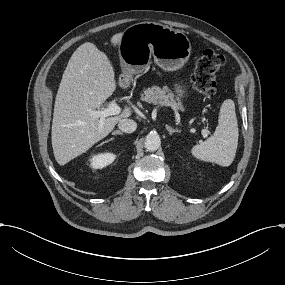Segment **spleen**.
Listing matches in <instances>:
<instances>
[{
  "label": "spleen",
  "instance_id": "spleen-1",
  "mask_svg": "<svg viewBox=\"0 0 285 285\" xmlns=\"http://www.w3.org/2000/svg\"><path fill=\"white\" fill-rule=\"evenodd\" d=\"M218 122L214 134L201 144L193 146L191 153L197 159L227 167L235 158L239 137L233 100L226 99L222 103Z\"/></svg>",
  "mask_w": 285,
  "mask_h": 285
}]
</instances>
